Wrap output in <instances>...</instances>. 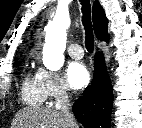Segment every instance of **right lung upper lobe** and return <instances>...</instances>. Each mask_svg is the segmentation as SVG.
I'll list each match as a JSON object with an SVG mask.
<instances>
[{
	"label": "right lung upper lobe",
	"mask_w": 142,
	"mask_h": 128,
	"mask_svg": "<svg viewBox=\"0 0 142 128\" xmlns=\"http://www.w3.org/2000/svg\"><path fill=\"white\" fill-rule=\"evenodd\" d=\"M93 26L96 37L100 40H108L107 25L108 21L105 12L98 1H95L92 9Z\"/></svg>",
	"instance_id": "1"
}]
</instances>
